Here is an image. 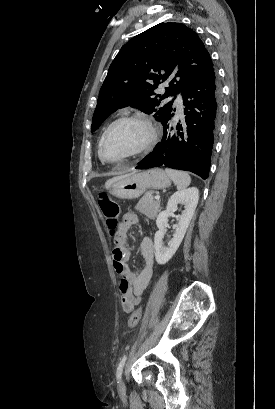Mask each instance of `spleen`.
Instances as JSON below:
<instances>
[{
  "label": "spleen",
  "mask_w": 275,
  "mask_h": 409,
  "mask_svg": "<svg viewBox=\"0 0 275 409\" xmlns=\"http://www.w3.org/2000/svg\"><path fill=\"white\" fill-rule=\"evenodd\" d=\"M168 176L172 178L173 182L177 184V188H186L191 182V178L188 172H182V170H172V168H165Z\"/></svg>",
  "instance_id": "1"
}]
</instances>
